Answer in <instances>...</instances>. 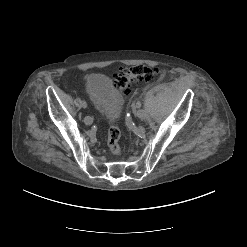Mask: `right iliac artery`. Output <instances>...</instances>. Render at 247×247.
Returning <instances> with one entry per match:
<instances>
[{
    "label": "right iliac artery",
    "mask_w": 247,
    "mask_h": 247,
    "mask_svg": "<svg viewBox=\"0 0 247 247\" xmlns=\"http://www.w3.org/2000/svg\"><path fill=\"white\" fill-rule=\"evenodd\" d=\"M79 105H80V107H82V108H84V109L87 108V106H88L87 103L84 102V101L80 102Z\"/></svg>",
    "instance_id": "right-iliac-artery-1"
}]
</instances>
